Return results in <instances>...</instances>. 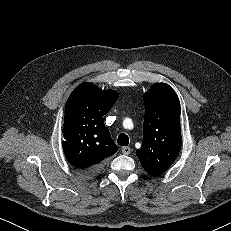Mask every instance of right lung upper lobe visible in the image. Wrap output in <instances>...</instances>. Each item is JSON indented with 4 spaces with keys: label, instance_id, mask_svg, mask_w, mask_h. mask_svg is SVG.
Masks as SVG:
<instances>
[{
    "label": "right lung upper lobe",
    "instance_id": "1",
    "mask_svg": "<svg viewBox=\"0 0 231 231\" xmlns=\"http://www.w3.org/2000/svg\"><path fill=\"white\" fill-rule=\"evenodd\" d=\"M118 98L114 90H101L92 83L77 86L65 105L62 147L68 162L81 171L101 167L118 150L103 116Z\"/></svg>",
    "mask_w": 231,
    "mask_h": 231
}]
</instances>
